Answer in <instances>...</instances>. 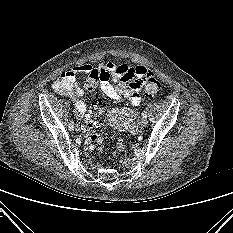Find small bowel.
I'll list each match as a JSON object with an SVG mask.
<instances>
[{
	"label": "small bowel",
	"instance_id": "small-bowel-1",
	"mask_svg": "<svg viewBox=\"0 0 233 233\" xmlns=\"http://www.w3.org/2000/svg\"><path fill=\"white\" fill-rule=\"evenodd\" d=\"M93 69L94 67L90 64H81L63 73L69 87L59 92L73 100L79 120L85 116L87 106L85 104L86 94L77 84V75L89 74ZM98 69L109 75V79L100 84L102 91L116 101L125 97L134 106H138L141 102L139 93L143 82L147 77L153 76V72L145 66H133L127 63L117 65L108 60L103 61Z\"/></svg>",
	"mask_w": 233,
	"mask_h": 233
}]
</instances>
